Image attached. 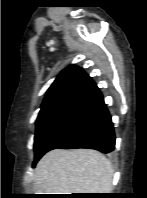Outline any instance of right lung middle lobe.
Segmentation results:
<instances>
[{
  "label": "right lung middle lobe",
  "instance_id": "1",
  "mask_svg": "<svg viewBox=\"0 0 147 198\" xmlns=\"http://www.w3.org/2000/svg\"><path fill=\"white\" fill-rule=\"evenodd\" d=\"M71 105H56L42 108L36 122V133L34 138L35 156L45 139L62 122L65 116L71 111Z\"/></svg>",
  "mask_w": 147,
  "mask_h": 198
}]
</instances>
